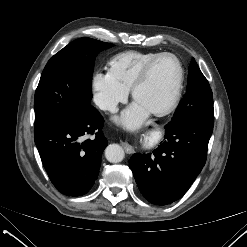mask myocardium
Instances as JSON below:
<instances>
[{
	"mask_svg": "<svg viewBox=\"0 0 247 247\" xmlns=\"http://www.w3.org/2000/svg\"><path fill=\"white\" fill-rule=\"evenodd\" d=\"M164 57H171L173 58L178 66V79H177V83L174 89V92L171 96V98L169 99V101L162 107L157 108V109H153L150 111L151 114L156 115V116H164L169 114L178 104L179 99L181 97V93H182V88H183V81H184V70H183V66L181 61L179 60V58L173 54V53H169V52H164V53H160L157 56H155L154 58H152L143 68L142 70L139 72L138 76L136 77V79L134 80L130 91H131V96L134 100H136V92L139 89V87L146 81V79L148 78L153 66L162 58Z\"/></svg>",
	"mask_w": 247,
	"mask_h": 247,
	"instance_id": "obj_1",
	"label": "myocardium"
}]
</instances>
